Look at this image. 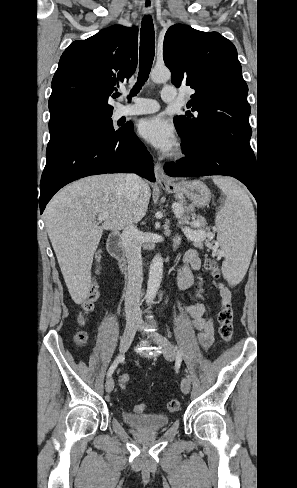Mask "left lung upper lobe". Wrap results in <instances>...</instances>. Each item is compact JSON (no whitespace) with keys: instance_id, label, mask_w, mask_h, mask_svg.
Here are the masks:
<instances>
[{"instance_id":"left-lung-upper-lobe-1","label":"left lung upper lobe","mask_w":297,"mask_h":488,"mask_svg":"<svg viewBox=\"0 0 297 488\" xmlns=\"http://www.w3.org/2000/svg\"><path fill=\"white\" fill-rule=\"evenodd\" d=\"M163 59L176 87L195 90L187 104L195 114L174 118L183 150L215 143L253 153L248 86L233 43L218 32L177 24L166 32Z\"/></svg>"}]
</instances>
